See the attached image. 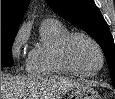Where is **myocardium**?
I'll use <instances>...</instances> for the list:
<instances>
[{
    "label": "myocardium",
    "mask_w": 115,
    "mask_h": 99,
    "mask_svg": "<svg viewBox=\"0 0 115 99\" xmlns=\"http://www.w3.org/2000/svg\"><path fill=\"white\" fill-rule=\"evenodd\" d=\"M75 38H84L90 43L93 44V46L96 48L99 57H100V64L98 68L92 72H85L77 68L73 62L70 59L69 56V45L71 41ZM58 57L61 61V63L71 72L76 75L82 76V77H92L97 75L102 68L104 67L105 64V56L104 52L102 50V47L100 44L89 34L84 33V32H70L67 34L60 42L59 48H58Z\"/></svg>",
    "instance_id": "myocardium-1"
}]
</instances>
